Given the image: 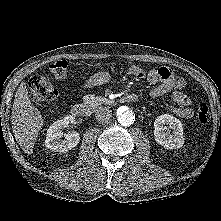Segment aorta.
<instances>
[{
  "label": "aorta",
  "instance_id": "aorta-1",
  "mask_svg": "<svg viewBox=\"0 0 221 221\" xmlns=\"http://www.w3.org/2000/svg\"><path fill=\"white\" fill-rule=\"evenodd\" d=\"M117 116V120L122 126H130L135 121V113L126 107H120L117 110Z\"/></svg>",
  "mask_w": 221,
  "mask_h": 221
}]
</instances>
